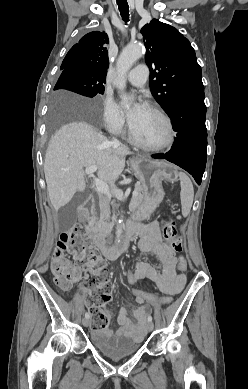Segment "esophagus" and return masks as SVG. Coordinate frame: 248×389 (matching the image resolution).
<instances>
[{"label":"esophagus","mask_w":248,"mask_h":389,"mask_svg":"<svg viewBox=\"0 0 248 389\" xmlns=\"http://www.w3.org/2000/svg\"><path fill=\"white\" fill-rule=\"evenodd\" d=\"M133 159H134V160H136V159H137V157H133Z\"/></svg>","instance_id":"esophagus-1"}]
</instances>
